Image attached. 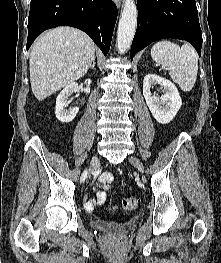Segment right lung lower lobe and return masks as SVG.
I'll list each match as a JSON object with an SVG mask.
<instances>
[{
    "instance_id": "obj_1",
    "label": "right lung lower lobe",
    "mask_w": 221,
    "mask_h": 263,
    "mask_svg": "<svg viewBox=\"0 0 221 263\" xmlns=\"http://www.w3.org/2000/svg\"><path fill=\"white\" fill-rule=\"evenodd\" d=\"M116 19L112 0H31L27 49L44 30L69 25L87 33L107 55Z\"/></svg>"
}]
</instances>
